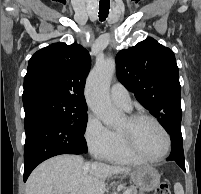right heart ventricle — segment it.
<instances>
[{
	"instance_id": "right-heart-ventricle-1",
	"label": "right heart ventricle",
	"mask_w": 201,
	"mask_h": 194,
	"mask_svg": "<svg viewBox=\"0 0 201 194\" xmlns=\"http://www.w3.org/2000/svg\"><path fill=\"white\" fill-rule=\"evenodd\" d=\"M114 138V145L104 157L105 160L117 164H134L142 161L127 150L120 130L114 131Z\"/></svg>"
}]
</instances>
